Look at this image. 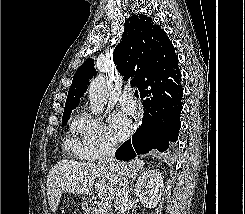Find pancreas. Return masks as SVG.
<instances>
[{
    "mask_svg": "<svg viewBox=\"0 0 245 214\" xmlns=\"http://www.w3.org/2000/svg\"><path fill=\"white\" fill-rule=\"evenodd\" d=\"M93 214H113L112 208L103 207L100 203H95L94 213Z\"/></svg>",
    "mask_w": 245,
    "mask_h": 214,
    "instance_id": "pancreas-1",
    "label": "pancreas"
}]
</instances>
